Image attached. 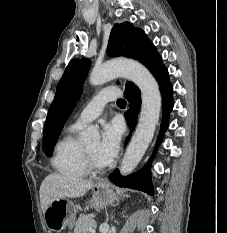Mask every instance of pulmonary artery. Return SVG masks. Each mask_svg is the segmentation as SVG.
Instances as JSON below:
<instances>
[{"label":"pulmonary artery","instance_id":"obj_1","mask_svg":"<svg viewBox=\"0 0 227 233\" xmlns=\"http://www.w3.org/2000/svg\"><path fill=\"white\" fill-rule=\"evenodd\" d=\"M117 96L118 90L115 88H106L100 91L82 110L73 126L81 128L97 119L102 114L105 104L115 100Z\"/></svg>","mask_w":227,"mask_h":233}]
</instances>
